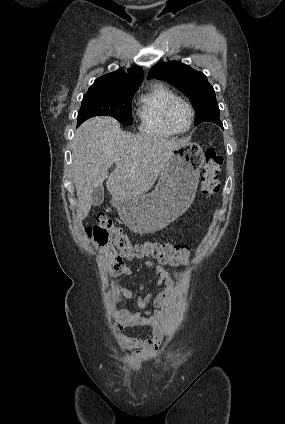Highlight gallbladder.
I'll return each instance as SVG.
<instances>
[{
  "instance_id": "obj_1",
  "label": "gallbladder",
  "mask_w": 285,
  "mask_h": 424,
  "mask_svg": "<svg viewBox=\"0 0 285 424\" xmlns=\"http://www.w3.org/2000/svg\"><path fill=\"white\" fill-rule=\"evenodd\" d=\"M92 205L100 206L104 201V188L102 185L93 188L92 193Z\"/></svg>"
}]
</instances>
